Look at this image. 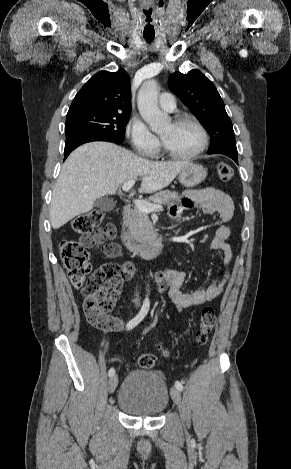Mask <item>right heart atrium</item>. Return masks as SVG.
Instances as JSON below:
<instances>
[{
    "mask_svg": "<svg viewBox=\"0 0 291 469\" xmlns=\"http://www.w3.org/2000/svg\"><path fill=\"white\" fill-rule=\"evenodd\" d=\"M126 135L132 147L143 156H152L159 147L158 138L139 118L133 117L126 126Z\"/></svg>",
    "mask_w": 291,
    "mask_h": 469,
    "instance_id": "1",
    "label": "right heart atrium"
}]
</instances>
